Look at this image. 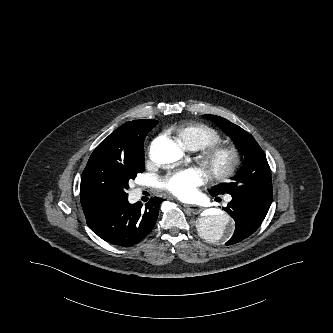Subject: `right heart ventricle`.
Instances as JSON below:
<instances>
[{
    "label": "right heart ventricle",
    "mask_w": 333,
    "mask_h": 333,
    "mask_svg": "<svg viewBox=\"0 0 333 333\" xmlns=\"http://www.w3.org/2000/svg\"><path fill=\"white\" fill-rule=\"evenodd\" d=\"M180 145L188 149H204L221 142V134L214 128L198 123H182L175 128Z\"/></svg>",
    "instance_id": "e07e8e85"
}]
</instances>
